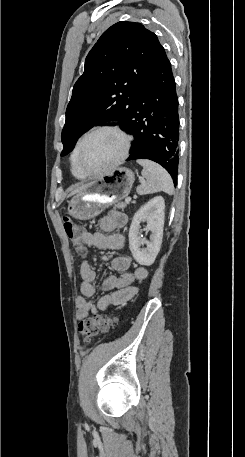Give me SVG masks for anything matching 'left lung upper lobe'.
Here are the masks:
<instances>
[{
	"label": "left lung upper lobe",
	"mask_w": 245,
	"mask_h": 457,
	"mask_svg": "<svg viewBox=\"0 0 245 457\" xmlns=\"http://www.w3.org/2000/svg\"><path fill=\"white\" fill-rule=\"evenodd\" d=\"M160 46L157 36L140 23L121 21L102 34L74 85L61 156L72 151L78 138L94 125L119 120L122 127L129 122Z\"/></svg>",
	"instance_id": "obj_1"
}]
</instances>
